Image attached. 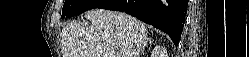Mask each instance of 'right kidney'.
<instances>
[{"label":"right kidney","mask_w":249,"mask_h":57,"mask_svg":"<svg viewBox=\"0 0 249 57\" xmlns=\"http://www.w3.org/2000/svg\"><path fill=\"white\" fill-rule=\"evenodd\" d=\"M162 54L164 55V57H167V54H166L164 48H162Z\"/></svg>","instance_id":"ca27d5eb"}]
</instances>
